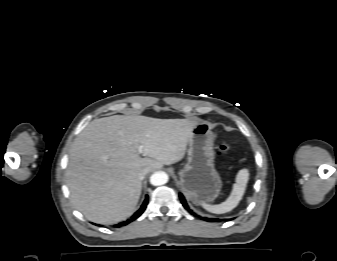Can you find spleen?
Returning <instances> with one entry per match:
<instances>
[{"instance_id":"spleen-1","label":"spleen","mask_w":337,"mask_h":261,"mask_svg":"<svg viewBox=\"0 0 337 261\" xmlns=\"http://www.w3.org/2000/svg\"><path fill=\"white\" fill-rule=\"evenodd\" d=\"M235 180L236 183H234L232 192L226 201L218 205L203 203V208L215 214L226 213L234 209L245 193V189L249 180V171L247 169H241L237 173Z\"/></svg>"}]
</instances>
